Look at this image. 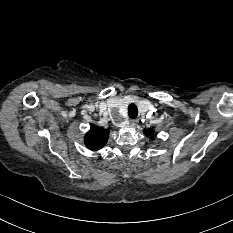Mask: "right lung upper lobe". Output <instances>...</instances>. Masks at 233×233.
<instances>
[{
	"mask_svg": "<svg viewBox=\"0 0 233 233\" xmlns=\"http://www.w3.org/2000/svg\"><path fill=\"white\" fill-rule=\"evenodd\" d=\"M109 130L92 126L85 136V144L91 150L101 149L108 140Z\"/></svg>",
	"mask_w": 233,
	"mask_h": 233,
	"instance_id": "right-lung-upper-lobe-1",
	"label": "right lung upper lobe"
}]
</instances>
